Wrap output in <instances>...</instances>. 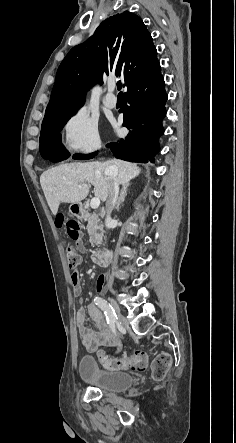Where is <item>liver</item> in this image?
Instances as JSON below:
<instances>
[{
	"label": "liver",
	"instance_id": "liver-1",
	"mask_svg": "<svg viewBox=\"0 0 236 443\" xmlns=\"http://www.w3.org/2000/svg\"><path fill=\"white\" fill-rule=\"evenodd\" d=\"M116 169L119 184H128L140 173L136 164L111 159L104 162L63 164L43 172L40 184L53 215L61 203H80L89 193V183L94 186L95 196L102 201L109 197L112 179L105 173L107 167ZM81 185V188L78 186Z\"/></svg>",
	"mask_w": 236,
	"mask_h": 443
}]
</instances>
